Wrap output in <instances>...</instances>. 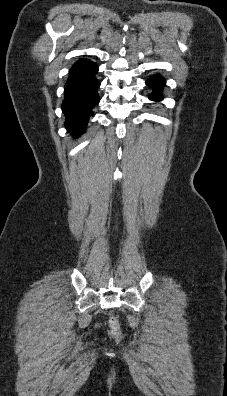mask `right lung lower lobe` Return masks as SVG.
I'll use <instances>...</instances> for the list:
<instances>
[{
	"label": "right lung lower lobe",
	"instance_id": "1",
	"mask_svg": "<svg viewBox=\"0 0 227 396\" xmlns=\"http://www.w3.org/2000/svg\"><path fill=\"white\" fill-rule=\"evenodd\" d=\"M97 71L98 66L85 58L79 59L70 69L62 111L66 116L65 126L74 138L84 133L89 118L93 116L92 109L99 102Z\"/></svg>",
	"mask_w": 227,
	"mask_h": 396
}]
</instances>
